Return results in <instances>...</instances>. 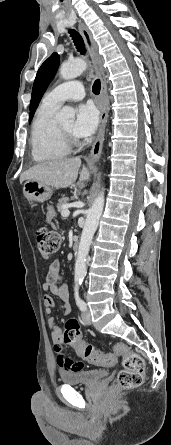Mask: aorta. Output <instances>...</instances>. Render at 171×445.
I'll list each match as a JSON object with an SVG mask.
<instances>
[{
    "label": "aorta",
    "mask_w": 171,
    "mask_h": 445,
    "mask_svg": "<svg viewBox=\"0 0 171 445\" xmlns=\"http://www.w3.org/2000/svg\"><path fill=\"white\" fill-rule=\"evenodd\" d=\"M87 68V63L83 59H75L65 62L60 67V75L64 80H70L81 75ZM61 122L71 121L75 118L73 108L64 106L57 116ZM104 208V190L99 193L93 205L87 212L85 225L81 234L79 249L74 268V281L80 284L87 271L86 258L88 256L94 233L97 230L100 217Z\"/></svg>",
    "instance_id": "aorta-1"
}]
</instances>
